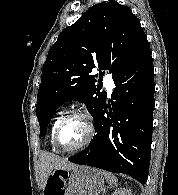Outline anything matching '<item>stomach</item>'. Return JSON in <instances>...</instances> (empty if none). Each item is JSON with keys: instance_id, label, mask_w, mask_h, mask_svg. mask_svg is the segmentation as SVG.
I'll return each mask as SVG.
<instances>
[{"instance_id": "stomach-1", "label": "stomach", "mask_w": 178, "mask_h": 195, "mask_svg": "<svg viewBox=\"0 0 178 195\" xmlns=\"http://www.w3.org/2000/svg\"><path fill=\"white\" fill-rule=\"evenodd\" d=\"M105 174L89 166H75L69 170L55 169L48 181L56 183V195H99L105 191ZM47 190V184L44 191Z\"/></svg>"}]
</instances>
